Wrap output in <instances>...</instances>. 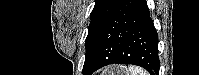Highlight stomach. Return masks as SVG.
I'll use <instances>...</instances> for the list:
<instances>
[{
    "label": "stomach",
    "mask_w": 199,
    "mask_h": 75,
    "mask_svg": "<svg viewBox=\"0 0 199 75\" xmlns=\"http://www.w3.org/2000/svg\"><path fill=\"white\" fill-rule=\"evenodd\" d=\"M120 73H121L120 70H116L114 74H118V75H119ZM121 74H122V73H121Z\"/></svg>",
    "instance_id": "0dacf381"
}]
</instances>
